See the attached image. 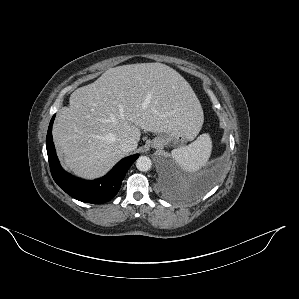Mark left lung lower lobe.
Masks as SVG:
<instances>
[{
    "mask_svg": "<svg viewBox=\"0 0 299 299\" xmlns=\"http://www.w3.org/2000/svg\"><path fill=\"white\" fill-rule=\"evenodd\" d=\"M218 177V168L210 167L206 169L195 181L194 190L196 192H203L209 189Z\"/></svg>",
    "mask_w": 299,
    "mask_h": 299,
    "instance_id": "obj_1",
    "label": "left lung lower lobe"
}]
</instances>
